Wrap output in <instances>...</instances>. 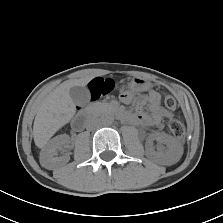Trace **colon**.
<instances>
[{"label": "colon", "instance_id": "colon-1", "mask_svg": "<svg viewBox=\"0 0 223 223\" xmlns=\"http://www.w3.org/2000/svg\"><path fill=\"white\" fill-rule=\"evenodd\" d=\"M113 90V83L110 80H105L104 82L93 81L91 84V97L96 99L97 95H105ZM164 105L169 110H174L176 108V101L172 96H166L164 98ZM167 127L172 132V134L183 141L186 137V130L184 125L176 119H168Z\"/></svg>", "mask_w": 223, "mask_h": 223}]
</instances>
